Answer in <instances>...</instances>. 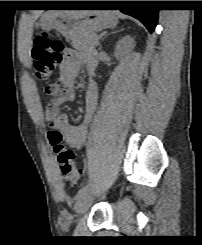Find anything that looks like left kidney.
I'll return each instance as SVG.
<instances>
[{
  "instance_id": "1",
  "label": "left kidney",
  "mask_w": 202,
  "mask_h": 245,
  "mask_svg": "<svg viewBox=\"0 0 202 245\" xmlns=\"http://www.w3.org/2000/svg\"><path fill=\"white\" fill-rule=\"evenodd\" d=\"M134 47V40L130 36H125L117 43L114 55L117 59H121L127 52L132 51Z\"/></svg>"
}]
</instances>
